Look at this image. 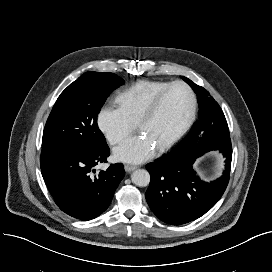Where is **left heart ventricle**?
<instances>
[{"label": "left heart ventricle", "mask_w": 272, "mask_h": 272, "mask_svg": "<svg viewBox=\"0 0 272 272\" xmlns=\"http://www.w3.org/2000/svg\"><path fill=\"white\" fill-rule=\"evenodd\" d=\"M189 106V96L186 90L179 86L174 87L167 93L155 115L146 121L139 131L158 148L182 126Z\"/></svg>", "instance_id": "1"}]
</instances>
